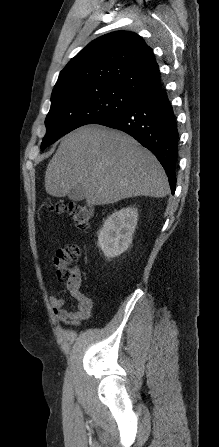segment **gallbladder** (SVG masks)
Listing matches in <instances>:
<instances>
[{
	"instance_id": "gallbladder-1",
	"label": "gallbladder",
	"mask_w": 219,
	"mask_h": 447,
	"mask_svg": "<svg viewBox=\"0 0 219 447\" xmlns=\"http://www.w3.org/2000/svg\"><path fill=\"white\" fill-rule=\"evenodd\" d=\"M67 196L70 200L79 202L85 199V190L81 185H77L71 189Z\"/></svg>"
}]
</instances>
